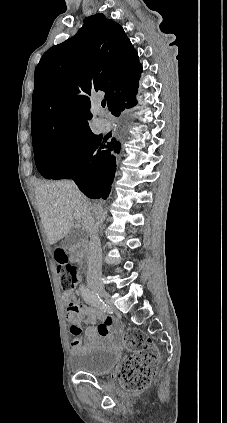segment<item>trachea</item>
I'll return each instance as SVG.
<instances>
[{"instance_id":"3493384b","label":"trachea","mask_w":227,"mask_h":423,"mask_svg":"<svg viewBox=\"0 0 227 423\" xmlns=\"http://www.w3.org/2000/svg\"><path fill=\"white\" fill-rule=\"evenodd\" d=\"M101 105H102V107L104 108V107H105V105H106V101H105V100H102Z\"/></svg>"}]
</instances>
